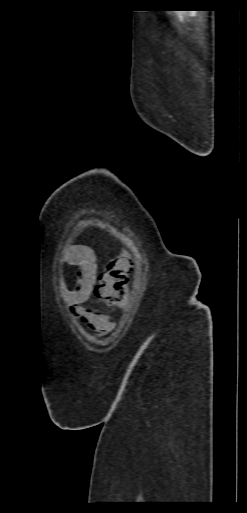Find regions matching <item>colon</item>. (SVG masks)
I'll return each mask as SVG.
<instances>
[{
	"instance_id": "1",
	"label": "colon",
	"mask_w": 247,
	"mask_h": 513,
	"mask_svg": "<svg viewBox=\"0 0 247 513\" xmlns=\"http://www.w3.org/2000/svg\"><path fill=\"white\" fill-rule=\"evenodd\" d=\"M132 259L125 254L111 259L96 277L94 294L111 306H119L126 295Z\"/></svg>"
}]
</instances>
